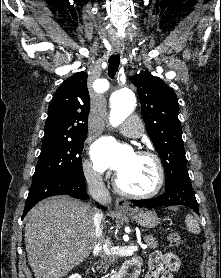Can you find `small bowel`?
<instances>
[{
  "label": "small bowel",
  "mask_w": 221,
  "mask_h": 278,
  "mask_svg": "<svg viewBox=\"0 0 221 278\" xmlns=\"http://www.w3.org/2000/svg\"><path fill=\"white\" fill-rule=\"evenodd\" d=\"M181 268V261L174 253L156 251L149 258V270L146 278H174Z\"/></svg>",
  "instance_id": "obj_1"
}]
</instances>
